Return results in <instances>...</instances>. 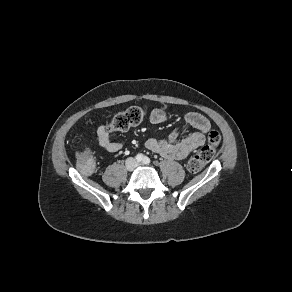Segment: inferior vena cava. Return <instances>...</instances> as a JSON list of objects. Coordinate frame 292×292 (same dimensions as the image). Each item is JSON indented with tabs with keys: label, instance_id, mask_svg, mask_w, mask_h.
I'll return each instance as SVG.
<instances>
[{
	"label": "inferior vena cava",
	"instance_id": "inferior-vena-cava-1",
	"mask_svg": "<svg viewBox=\"0 0 292 292\" xmlns=\"http://www.w3.org/2000/svg\"><path fill=\"white\" fill-rule=\"evenodd\" d=\"M125 164L128 170H132L133 168L138 166V162L133 157L127 158Z\"/></svg>",
	"mask_w": 292,
	"mask_h": 292
}]
</instances>
